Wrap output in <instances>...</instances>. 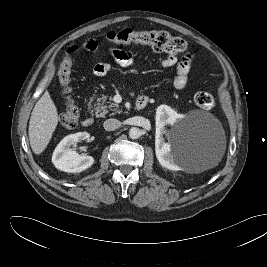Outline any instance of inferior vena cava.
I'll use <instances>...</instances> for the list:
<instances>
[{"label": "inferior vena cava", "mask_w": 267, "mask_h": 267, "mask_svg": "<svg viewBox=\"0 0 267 267\" xmlns=\"http://www.w3.org/2000/svg\"><path fill=\"white\" fill-rule=\"evenodd\" d=\"M103 126L107 131H114L121 126V122L117 119L111 118L104 121Z\"/></svg>", "instance_id": "obj_1"}]
</instances>
